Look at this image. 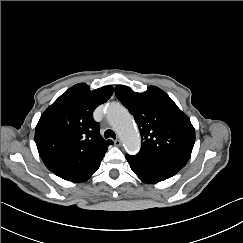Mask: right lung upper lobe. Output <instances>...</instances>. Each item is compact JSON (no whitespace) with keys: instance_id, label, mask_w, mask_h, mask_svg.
I'll return each mask as SVG.
<instances>
[{"instance_id":"cb5924a9","label":"right lung upper lobe","mask_w":243,"mask_h":243,"mask_svg":"<svg viewBox=\"0 0 243 243\" xmlns=\"http://www.w3.org/2000/svg\"><path fill=\"white\" fill-rule=\"evenodd\" d=\"M112 86L91 91L79 83L63 93L41 115L35 129L39 155L46 167L62 176L101 162L112 140H104L93 111L113 94Z\"/></svg>"}]
</instances>
